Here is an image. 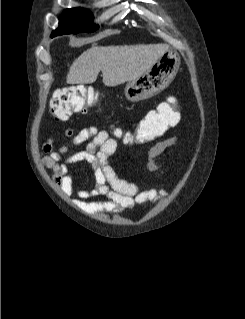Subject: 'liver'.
I'll list each match as a JSON object with an SVG mask.
<instances>
[{"label": "liver", "instance_id": "6515ba94", "mask_svg": "<svg viewBox=\"0 0 245 319\" xmlns=\"http://www.w3.org/2000/svg\"><path fill=\"white\" fill-rule=\"evenodd\" d=\"M167 50L165 44L92 46L74 60L66 82L91 84L102 71L104 85L114 87L141 76Z\"/></svg>", "mask_w": 245, "mask_h": 319}]
</instances>
